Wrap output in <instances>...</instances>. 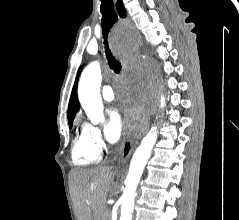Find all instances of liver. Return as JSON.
<instances>
[{"instance_id":"1","label":"liver","mask_w":239,"mask_h":220,"mask_svg":"<svg viewBox=\"0 0 239 220\" xmlns=\"http://www.w3.org/2000/svg\"><path fill=\"white\" fill-rule=\"evenodd\" d=\"M115 175L109 166L70 171L69 183L77 220H102Z\"/></svg>"}]
</instances>
